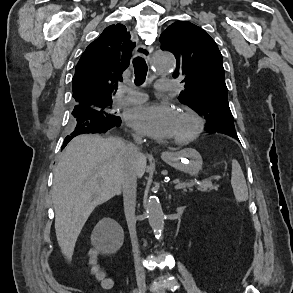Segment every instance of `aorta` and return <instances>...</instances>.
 <instances>
[{
  "mask_svg": "<svg viewBox=\"0 0 293 293\" xmlns=\"http://www.w3.org/2000/svg\"><path fill=\"white\" fill-rule=\"evenodd\" d=\"M152 67L155 73H169L175 67V58L170 52L157 50L153 54ZM145 208L149 224L155 236L159 238L164 230V214L158 198L150 196Z\"/></svg>",
  "mask_w": 293,
  "mask_h": 293,
  "instance_id": "aorta-1",
  "label": "aorta"
}]
</instances>
